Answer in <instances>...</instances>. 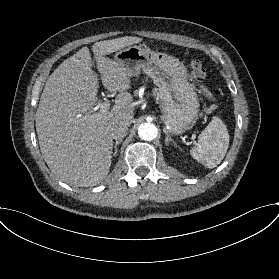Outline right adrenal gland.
<instances>
[{"label": "right adrenal gland", "mask_w": 279, "mask_h": 279, "mask_svg": "<svg viewBox=\"0 0 279 279\" xmlns=\"http://www.w3.org/2000/svg\"><path fill=\"white\" fill-rule=\"evenodd\" d=\"M122 142V139L116 140L115 145H114V152H112L113 156H116L118 149L117 146Z\"/></svg>", "instance_id": "right-adrenal-gland-1"}]
</instances>
